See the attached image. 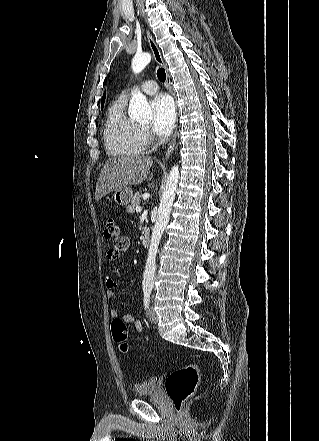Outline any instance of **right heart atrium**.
<instances>
[{"label": "right heart atrium", "mask_w": 319, "mask_h": 441, "mask_svg": "<svg viewBox=\"0 0 319 441\" xmlns=\"http://www.w3.org/2000/svg\"><path fill=\"white\" fill-rule=\"evenodd\" d=\"M140 134H141V138H142V141L145 146L149 145L152 142V137L146 129L141 128Z\"/></svg>", "instance_id": "1"}]
</instances>
